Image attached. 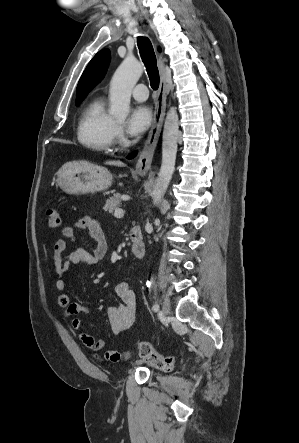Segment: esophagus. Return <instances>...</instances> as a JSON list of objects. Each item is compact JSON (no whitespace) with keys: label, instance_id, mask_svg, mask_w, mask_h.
Listing matches in <instances>:
<instances>
[{"label":"esophagus","instance_id":"34e87169","mask_svg":"<svg viewBox=\"0 0 299 443\" xmlns=\"http://www.w3.org/2000/svg\"><path fill=\"white\" fill-rule=\"evenodd\" d=\"M158 66L160 71V85L155 103L153 123L135 167L138 173H147L151 168L153 155L160 137L165 116L167 80L164 63L160 55L158 58Z\"/></svg>","mask_w":299,"mask_h":443}]
</instances>
